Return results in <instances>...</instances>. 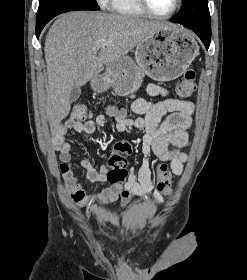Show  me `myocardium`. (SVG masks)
<instances>
[{"instance_id": "myocardium-1", "label": "myocardium", "mask_w": 247, "mask_h": 280, "mask_svg": "<svg viewBox=\"0 0 247 280\" xmlns=\"http://www.w3.org/2000/svg\"><path fill=\"white\" fill-rule=\"evenodd\" d=\"M139 6L142 8V10L152 16V17H155V18H159V19H167V18H170L172 17L173 15L176 14V12L179 10V8L181 7V4H182V0H175V5L173 7V9L166 13V14H159V13H156L148 4L147 0H137Z\"/></svg>"}]
</instances>
